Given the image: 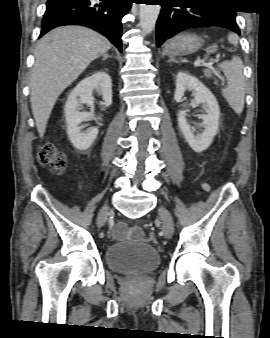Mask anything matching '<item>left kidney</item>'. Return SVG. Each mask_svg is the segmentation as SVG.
<instances>
[{"instance_id": "left-kidney-1", "label": "left kidney", "mask_w": 270, "mask_h": 338, "mask_svg": "<svg viewBox=\"0 0 270 338\" xmlns=\"http://www.w3.org/2000/svg\"><path fill=\"white\" fill-rule=\"evenodd\" d=\"M186 90L193 92L194 103H201L206 111V114L201 116L204 130L200 134H194L191 125L186 120V110L179 111L178 124L190 147L200 153L210 146L218 132L220 109L216 97L202 82L189 73L181 71L176 76L174 100L181 102Z\"/></svg>"}]
</instances>
